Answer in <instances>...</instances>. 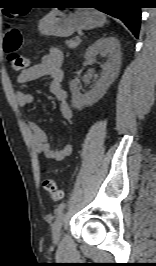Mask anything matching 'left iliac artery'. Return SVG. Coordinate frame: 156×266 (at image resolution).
I'll list each match as a JSON object with an SVG mask.
<instances>
[{"label":"left iliac artery","mask_w":156,"mask_h":266,"mask_svg":"<svg viewBox=\"0 0 156 266\" xmlns=\"http://www.w3.org/2000/svg\"><path fill=\"white\" fill-rule=\"evenodd\" d=\"M64 208H65V203L64 202L59 204L58 207H57V210H56L57 214H60L63 211Z\"/></svg>","instance_id":"1"}]
</instances>
